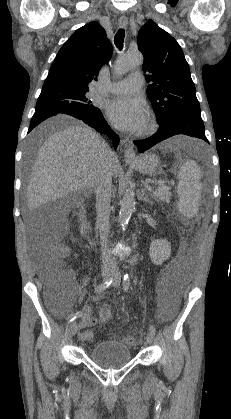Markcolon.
Returning <instances> with one entry per match:
<instances>
[{
  "mask_svg": "<svg viewBox=\"0 0 231 419\" xmlns=\"http://www.w3.org/2000/svg\"><path fill=\"white\" fill-rule=\"evenodd\" d=\"M67 253V246L58 244L50 248L45 256L43 276L50 289H55L56 286L64 287L72 280V272L63 261ZM100 319L103 322L111 320V313L107 307H103L100 310ZM124 342L128 345L135 344L133 338H126Z\"/></svg>",
  "mask_w": 231,
  "mask_h": 419,
  "instance_id": "colon-1",
  "label": "colon"
}]
</instances>
